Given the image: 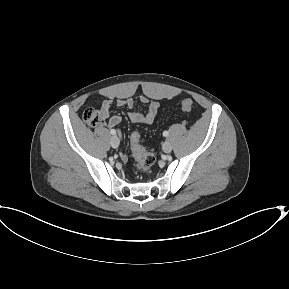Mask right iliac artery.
I'll list each match as a JSON object with an SVG mask.
<instances>
[{
    "label": "right iliac artery",
    "mask_w": 289,
    "mask_h": 289,
    "mask_svg": "<svg viewBox=\"0 0 289 289\" xmlns=\"http://www.w3.org/2000/svg\"><path fill=\"white\" fill-rule=\"evenodd\" d=\"M110 133H111L112 135H115V134H116V131H115L114 129H111Z\"/></svg>",
    "instance_id": "82829eb1"
}]
</instances>
